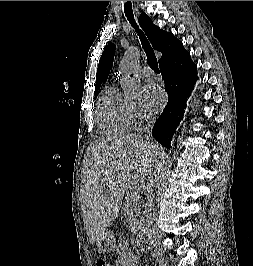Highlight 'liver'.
Here are the masks:
<instances>
[{
  "label": "liver",
  "mask_w": 253,
  "mask_h": 266,
  "mask_svg": "<svg viewBox=\"0 0 253 266\" xmlns=\"http://www.w3.org/2000/svg\"><path fill=\"white\" fill-rule=\"evenodd\" d=\"M162 148L139 135L95 141L84 157L82 216L94 244L119 214L124 194L150 172Z\"/></svg>",
  "instance_id": "obj_1"
}]
</instances>
